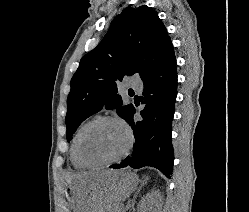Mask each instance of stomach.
Masks as SVG:
<instances>
[{"label":"stomach","mask_w":249,"mask_h":212,"mask_svg":"<svg viewBox=\"0 0 249 212\" xmlns=\"http://www.w3.org/2000/svg\"><path fill=\"white\" fill-rule=\"evenodd\" d=\"M133 189L127 170H89L64 186L72 212H100V204H121V199L107 198H126Z\"/></svg>","instance_id":"1"}]
</instances>
